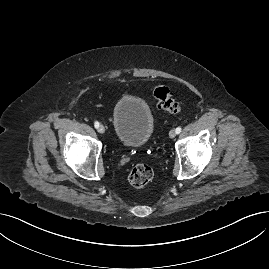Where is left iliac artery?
Segmentation results:
<instances>
[{"mask_svg":"<svg viewBox=\"0 0 269 269\" xmlns=\"http://www.w3.org/2000/svg\"><path fill=\"white\" fill-rule=\"evenodd\" d=\"M181 130H182L181 127H177L176 128V133L179 134L181 132Z\"/></svg>","mask_w":269,"mask_h":269,"instance_id":"left-iliac-artery-1","label":"left iliac artery"}]
</instances>
